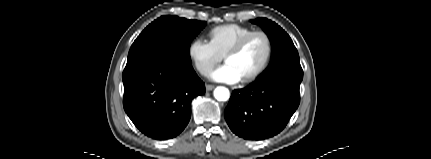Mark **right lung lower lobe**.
Here are the masks:
<instances>
[{
  "label": "right lung lower lobe",
  "mask_w": 431,
  "mask_h": 159,
  "mask_svg": "<svg viewBox=\"0 0 431 159\" xmlns=\"http://www.w3.org/2000/svg\"><path fill=\"white\" fill-rule=\"evenodd\" d=\"M124 110L134 125L156 140L179 135L191 117V101L205 85L191 64L162 52L127 61L123 71Z\"/></svg>",
  "instance_id": "right-lung-lower-lobe-1"
}]
</instances>
